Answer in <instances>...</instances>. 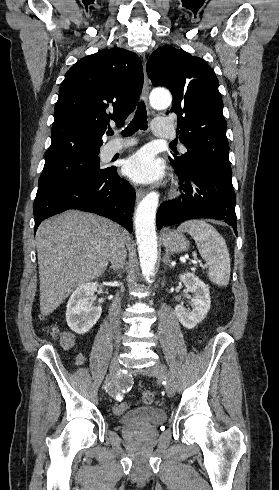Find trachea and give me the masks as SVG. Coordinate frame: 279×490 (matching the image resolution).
<instances>
[{
    "mask_svg": "<svg viewBox=\"0 0 279 490\" xmlns=\"http://www.w3.org/2000/svg\"><path fill=\"white\" fill-rule=\"evenodd\" d=\"M148 127V122H147V113H146V107L141 102L138 106V109L135 113V116L133 120L129 123V125L125 128V130L122 131V135L124 137H129L133 135L137 130H146ZM107 135H113L112 130H108Z\"/></svg>",
    "mask_w": 279,
    "mask_h": 490,
    "instance_id": "1",
    "label": "trachea"
}]
</instances>
